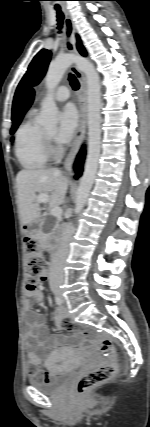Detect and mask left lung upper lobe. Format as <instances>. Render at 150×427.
<instances>
[{
	"label": "left lung upper lobe",
	"mask_w": 150,
	"mask_h": 427,
	"mask_svg": "<svg viewBox=\"0 0 150 427\" xmlns=\"http://www.w3.org/2000/svg\"><path fill=\"white\" fill-rule=\"evenodd\" d=\"M51 52L46 49H42L30 63L28 70L22 80L20 81L17 90L15 92L13 107H12V120L15 118L17 105L20 99V96L24 88L28 84L36 85L40 82L42 77L45 75L48 64L50 62Z\"/></svg>",
	"instance_id": "left-lung-upper-lobe-1"
}]
</instances>
